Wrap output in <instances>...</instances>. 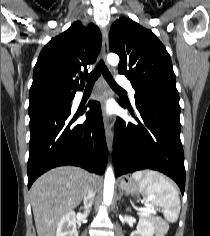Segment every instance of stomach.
Listing matches in <instances>:
<instances>
[{
	"mask_svg": "<svg viewBox=\"0 0 210 236\" xmlns=\"http://www.w3.org/2000/svg\"><path fill=\"white\" fill-rule=\"evenodd\" d=\"M120 188L125 193L131 195H139V193H142L140 191L139 182L131 176H125L120 179Z\"/></svg>",
	"mask_w": 210,
	"mask_h": 236,
	"instance_id": "0dacf381",
	"label": "stomach"
}]
</instances>
